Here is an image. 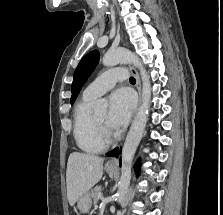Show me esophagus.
<instances>
[{
    "label": "esophagus",
    "instance_id": "1",
    "mask_svg": "<svg viewBox=\"0 0 223 215\" xmlns=\"http://www.w3.org/2000/svg\"><path fill=\"white\" fill-rule=\"evenodd\" d=\"M129 70L134 75V77L136 78V87H137L138 95H139V97H138V107H139L140 104H141V82H140V77L138 75V72L131 65H129ZM107 165L109 167L117 166L118 165L117 158H111L110 160H108Z\"/></svg>",
    "mask_w": 223,
    "mask_h": 215
}]
</instances>
